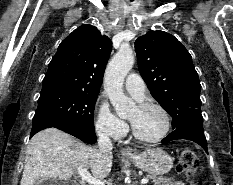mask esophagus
<instances>
[{
	"label": "esophagus",
	"mask_w": 233,
	"mask_h": 185,
	"mask_svg": "<svg viewBox=\"0 0 233 185\" xmlns=\"http://www.w3.org/2000/svg\"><path fill=\"white\" fill-rule=\"evenodd\" d=\"M121 153L123 155H133L134 151H133V149H131L129 147H124V148L121 149Z\"/></svg>",
	"instance_id": "esophagus-1"
}]
</instances>
